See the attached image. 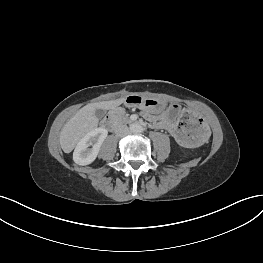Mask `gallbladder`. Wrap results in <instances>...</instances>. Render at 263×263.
Segmentation results:
<instances>
[{
    "mask_svg": "<svg viewBox=\"0 0 263 263\" xmlns=\"http://www.w3.org/2000/svg\"><path fill=\"white\" fill-rule=\"evenodd\" d=\"M95 115L98 119H102L105 116V111L103 109H96Z\"/></svg>",
    "mask_w": 263,
    "mask_h": 263,
    "instance_id": "gallbladder-1",
    "label": "gallbladder"
}]
</instances>
